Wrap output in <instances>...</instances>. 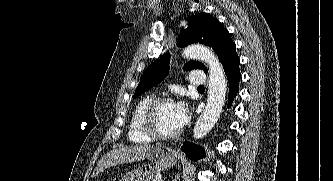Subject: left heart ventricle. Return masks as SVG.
<instances>
[{"instance_id": "b2bd125f", "label": "left heart ventricle", "mask_w": 333, "mask_h": 181, "mask_svg": "<svg viewBox=\"0 0 333 181\" xmlns=\"http://www.w3.org/2000/svg\"><path fill=\"white\" fill-rule=\"evenodd\" d=\"M156 124L163 133H172L179 129L175 119V105L165 104L161 106L156 115Z\"/></svg>"}]
</instances>
